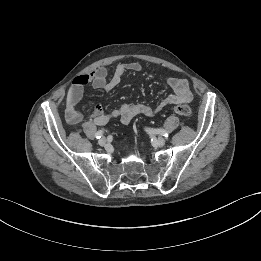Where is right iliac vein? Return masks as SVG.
<instances>
[{
    "instance_id": "obj_1",
    "label": "right iliac vein",
    "mask_w": 261,
    "mask_h": 261,
    "mask_svg": "<svg viewBox=\"0 0 261 261\" xmlns=\"http://www.w3.org/2000/svg\"><path fill=\"white\" fill-rule=\"evenodd\" d=\"M98 144L100 146H105L107 144V140L105 137H102L99 141H98Z\"/></svg>"
}]
</instances>
